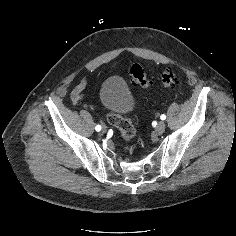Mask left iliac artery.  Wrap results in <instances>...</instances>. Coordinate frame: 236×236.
Returning a JSON list of instances; mask_svg holds the SVG:
<instances>
[{"mask_svg":"<svg viewBox=\"0 0 236 236\" xmlns=\"http://www.w3.org/2000/svg\"><path fill=\"white\" fill-rule=\"evenodd\" d=\"M160 118H161V120H165V119H166V115L162 114V115L160 116Z\"/></svg>","mask_w":236,"mask_h":236,"instance_id":"44dca946","label":"left iliac artery"}]
</instances>
